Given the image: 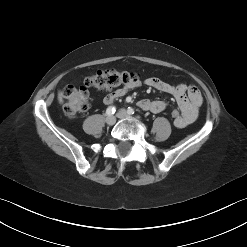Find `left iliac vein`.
Returning a JSON list of instances; mask_svg holds the SVG:
<instances>
[{
  "label": "left iliac vein",
  "instance_id": "1",
  "mask_svg": "<svg viewBox=\"0 0 247 247\" xmlns=\"http://www.w3.org/2000/svg\"><path fill=\"white\" fill-rule=\"evenodd\" d=\"M117 117L120 118V119H123V118H127L128 115L126 114V111L124 109L120 110L118 113H117Z\"/></svg>",
  "mask_w": 247,
  "mask_h": 247
}]
</instances>
